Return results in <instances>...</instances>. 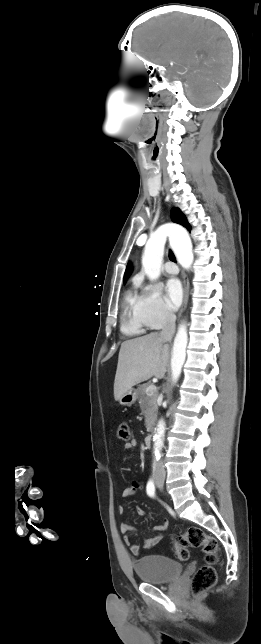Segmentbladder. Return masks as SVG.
<instances>
[{"label":"bladder","instance_id":"31cf9c89","mask_svg":"<svg viewBox=\"0 0 261 644\" xmlns=\"http://www.w3.org/2000/svg\"><path fill=\"white\" fill-rule=\"evenodd\" d=\"M137 577L146 583L162 584L180 576L183 566L180 562L162 555H147L133 562Z\"/></svg>","mask_w":261,"mask_h":644}]
</instances>
